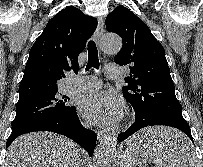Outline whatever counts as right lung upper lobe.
Instances as JSON below:
<instances>
[{
  "label": "right lung upper lobe",
  "instance_id": "obj_1",
  "mask_svg": "<svg viewBox=\"0 0 203 167\" xmlns=\"http://www.w3.org/2000/svg\"><path fill=\"white\" fill-rule=\"evenodd\" d=\"M96 27L95 18L73 6L56 14L30 50L18 103L57 91L64 71H78V55Z\"/></svg>",
  "mask_w": 203,
  "mask_h": 167
}]
</instances>
